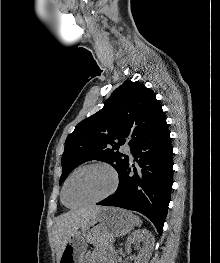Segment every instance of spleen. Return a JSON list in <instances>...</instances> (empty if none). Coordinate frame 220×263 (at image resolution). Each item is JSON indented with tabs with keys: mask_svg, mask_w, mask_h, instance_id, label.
<instances>
[{
	"mask_svg": "<svg viewBox=\"0 0 220 263\" xmlns=\"http://www.w3.org/2000/svg\"><path fill=\"white\" fill-rule=\"evenodd\" d=\"M135 217V222L137 226H141L142 221L140 220V218L138 216H134Z\"/></svg>",
	"mask_w": 220,
	"mask_h": 263,
	"instance_id": "1",
	"label": "spleen"
}]
</instances>
